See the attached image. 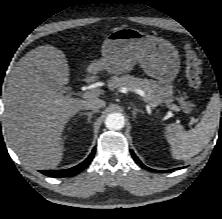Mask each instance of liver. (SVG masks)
I'll return each mask as SVG.
<instances>
[{
    "mask_svg": "<svg viewBox=\"0 0 222 219\" xmlns=\"http://www.w3.org/2000/svg\"><path fill=\"white\" fill-rule=\"evenodd\" d=\"M86 71L98 73L89 66ZM41 73L60 86L68 84L70 68L64 53L42 45L16 63L6 89L3 127L9 145L25 166L52 169L63 157L65 125L86 103L97 98L65 97L45 82Z\"/></svg>",
    "mask_w": 222,
    "mask_h": 219,
    "instance_id": "1",
    "label": "liver"
}]
</instances>
